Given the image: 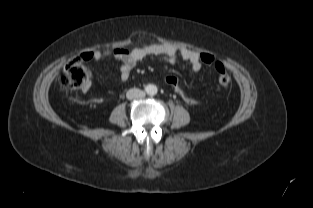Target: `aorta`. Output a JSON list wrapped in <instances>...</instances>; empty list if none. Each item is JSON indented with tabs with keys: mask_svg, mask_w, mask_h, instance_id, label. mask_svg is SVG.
Wrapping results in <instances>:
<instances>
[{
	"mask_svg": "<svg viewBox=\"0 0 313 208\" xmlns=\"http://www.w3.org/2000/svg\"><path fill=\"white\" fill-rule=\"evenodd\" d=\"M147 93L149 95H155L157 93V87L155 85H149L147 87Z\"/></svg>",
	"mask_w": 313,
	"mask_h": 208,
	"instance_id": "762f6f07",
	"label": "aorta"
}]
</instances>
